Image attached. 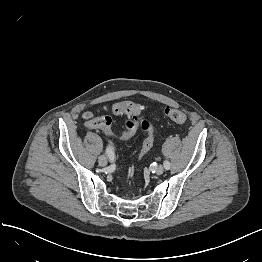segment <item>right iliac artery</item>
Segmentation results:
<instances>
[{"mask_svg": "<svg viewBox=\"0 0 262 262\" xmlns=\"http://www.w3.org/2000/svg\"><path fill=\"white\" fill-rule=\"evenodd\" d=\"M106 154L109 158H112L114 156L113 148L110 145L106 149Z\"/></svg>", "mask_w": 262, "mask_h": 262, "instance_id": "obj_1", "label": "right iliac artery"}]
</instances>
